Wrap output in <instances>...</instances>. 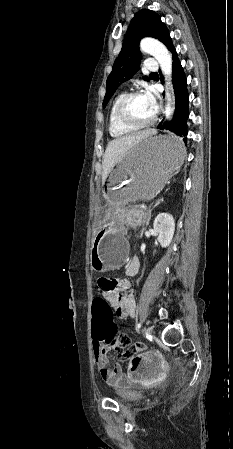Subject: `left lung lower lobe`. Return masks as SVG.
<instances>
[{"label":"left lung lower lobe","mask_w":233,"mask_h":449,"mask_svg":"<svg viewBox=\"0 0 233 449\" xmlns=\"http://www.w3.org/2000/svg\"><path fill=\"white\" fill-rule=\"evenodd\" d=\"M172 54V83L175 93V113L173 119L169 123L162 122L159 124V129H167L171 131L174 136V140L170 141L168 144V149L170 151L178 150L184 143L187 142V120L189 118V94L187 91V80L184 74V70L178 59L177 52L175 48L171 51ZM162 77V75H161ZM163 81V79H162Z\"/></svg>","instance_id":"0a47b994"}]
</instances>
